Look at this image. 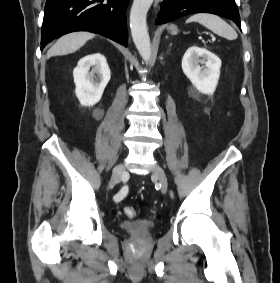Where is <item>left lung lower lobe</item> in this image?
Masks as SVG:
<instances>
[{
	"mask_svg": "<svg viewBox=\"0 0 280 283\" xmlns=\"http://www.w3.org/2000/svg\"><path fill=\"white\" fill-rule=\"evenodd\" d=\"M194 13H212L231 19L241 29L234 0H163L155 23L164 24Z\"/></svg>",
	"mask_w": 280,
	"mask_h": 283,
	"instance_id": "obj_1",
	"label": "left lung lower lobe"
}]
</instances>
